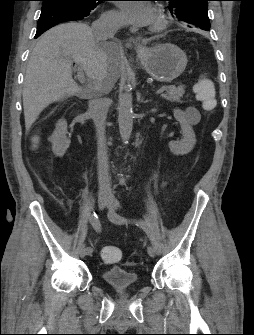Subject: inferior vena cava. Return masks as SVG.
Listing matches in <instances>:
<instances>
[{"mask_svg":"<svg viewBox=\"0 0 254 335\" xmlns=\"http://www.w3.org/2000/svg\"><path fill=\"white\" fill-rule=\"evenodd\" d=\"M120 20L111 14H104L92 23L91 29L98 40L113 38L120 29ZM89 111L94 121L97 135L98 182L102 191H110L107 144L105 138V122L108 111V99L101 97V89L96 84L94 97L90 100Z\"/></svg>","mask_w":254,"mask_h":335,"instance_id":"obj_1","label":"inferior vena cava"}]
</instances>
